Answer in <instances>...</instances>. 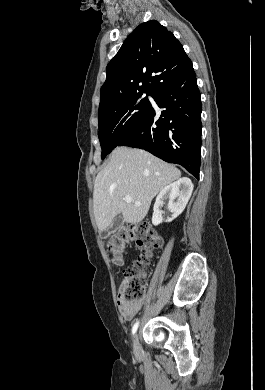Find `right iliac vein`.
I'll return each mask as SVG.
<instances>
[{
  "label": "right iliac vein",
  "instance_id": "1",
  "mask_svg": "<svg viewBox=\"0 0 265 390\" xmlns=\"http://www.w3.org/2000/svg\"><path fill=\"white\" fill-rule=\"evenodd\" d=\"M133 350H134L135 356H137V357L141 356L142 348H141V344H140V341H139L137 334H135L134 339H133Z\"/></svg>",
  "mask_w": 265,
  "mask_h": 390
}]
</instances>
